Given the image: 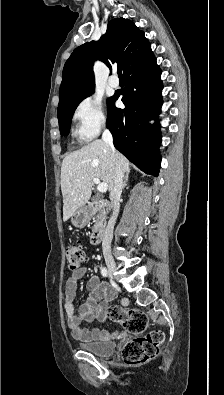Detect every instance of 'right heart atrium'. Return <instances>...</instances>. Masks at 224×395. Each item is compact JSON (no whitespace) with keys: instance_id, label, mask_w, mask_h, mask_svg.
<instances>
[{"instance_id":"1","label":"right heart atrium","mask_w":224,"mask_h":395,"mask_svg":"<svg viewBox=\"0 0 224 395\" xmlns=\"http://www.w3.org/2000/svg\"><path fill=\"white\" fill-rule=\"evenodd\" d=\"M75 134L82 140L95 138L108 123L104 105L95 97L79 101L73 111Z\"/></svg>"}]
</instances>
